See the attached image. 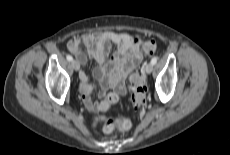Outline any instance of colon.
Returning a JSON list of instances; mask_svg holds the SVG:
<instances>
[{
  "mask_svg": "<svg viewBox=\"0 0 230 155\" xmlns=\"http://www.w3.org/2000/svg\"><path fill=\"white\" fill-rule=\"evenodd\" d=\"M157 44L154 40L147 41L143 45V50L149 54L153 55L156 52ZM131 99L133 105V111L138 112L146 104V86L144 84L141 73H136L131 78ZM116 99L111 97L109 102L114 104ZM96 122L102 125L104 132L111 133L115 129L125 132L132 127V123L127 119H104L102 117H97Z\"/></svg>",
  "mask_w": 230,
  "mask_h": 155,
  "instance_id": "colon-1",
  "label": "colon"
}]
</instances>
